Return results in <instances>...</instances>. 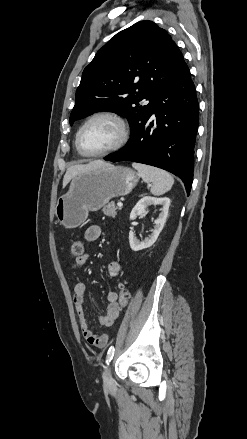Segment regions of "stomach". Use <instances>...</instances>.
I'll list each match as a JSON object with an SVG mask.
<instances>
[{
    "label": "stomach",
    "mask_w": 247,
    "mask_h": 439,
    "mask_svg": "<svg viewBox=\"0 0 247 439\" xmlns=\"http://www.w3.org/2000/svg\"><path fill=\"white\" fill-rule=\"evenodd\" d=\"M138 174L129 167L108 165L75 176L66 194L61 196L55 214L66 228H76L89 211H98L110 199L127 195L137 185Z\"/></svg>",
    "instance_id": "0dacf381"
}]
</instances>
